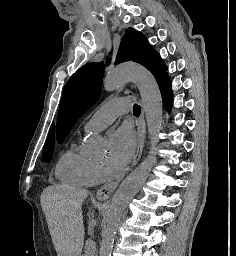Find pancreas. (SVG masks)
Instances as JSON below:
<instances>
[{
	"label": "pancreas",
	"mask_w": 236,
	"mask_h": 256,
	"mask_svg": "<svg viewBox=\"0 0 236 256\" xmlns=\"http://www.w3.org/2000/svg\"><path fill=\"white\" fill-rule=\"evenodd\" d=\"M95 220L94 219H89L88 224L89 226H92L94 224ZM96 229H91L90 234H96ZM84 247L86 250H91L93 247H95V242L93 238H86L84 242Z\"/></svg>",
	"instance_id": "1"
}]
</instances>
